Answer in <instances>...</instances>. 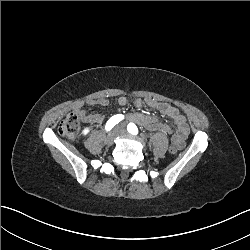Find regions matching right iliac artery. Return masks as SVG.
<instances>
[{"label": "right iliac artery", "instance_id": "1", "mask_svg": "<svg viewBox=\"0 0 250 250\" xmlns=\"http://www.w3.org/2000/svg\"><path fill=\"white\" fill-rule=\"evenodd\" d=\"M124 116L122 114H117L112 116L106 123L105 129L106 131H110L117 123H119Z\"/></svg>", "mask_w": 250, "mask_h": 250}]
</instances>
